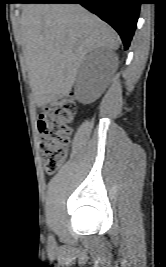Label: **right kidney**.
Returning <instances> with one entry per match:
<instances>
[{"label": "right kidney", "mask_w": 166, "mask_h": 267, "mask_svg": "<svg viewBox=\"0 0 166 267\" xmlns=\"http://www.w3.org/2000/svg\"><path fill=\"white\" fill-rule=\"evenodd\" d=\"M77 79L76 98L83 104L94 102L104 90V77L108 73V57L103 49H96L87 56ZM90 67V69H89Z\"/></svg>", "instance_id": "1"}]
</instances>
